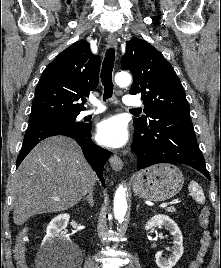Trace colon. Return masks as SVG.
Returning <instances> with one entry per match:
<instances>
[{
    "label": "colon",
    "instance_id": "obj_1",
    "mask_svg": "<svg viewBox=\"0 0 221 268\" xmlns=\"http://www.w3.org/2000/svg\"><path fill=\"white\" fill-rule=\"evenodd\" d=\"M200 226L203 229L200 247L190 262L188 268H201L203 265L209 248L211 246L212 234H211V210L209 207H203L199 215ZM29 229H23L18 235L14 255L17 262L18 268H29L26 263V244L29 240Z\"/></svg>",
    "mask_w": 221,
    "mask_h": 268
}]
</instances>
